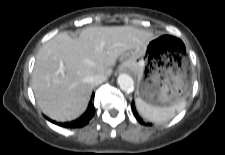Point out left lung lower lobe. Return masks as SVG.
<instances>
[{"instance_id": "obj_1", "label": "left lung lower lobe", "mask_w": 225, "mask_h": 155, "mask_svg": "<svg viewBox=\"0 0 225 155\" xmlns=\"http://www.w3.org/2000/svg\"><path fill=\"white\" fill-rule=\"evenodd\" d=\"M132 109H133V113H134L135 117L137 118V120H138L140 123L143 124L142 119L139 117V115H138L137 112H136L134 102H132ZM147 125H150V124L148 123Z\"/></svg>"}]
</instances>
